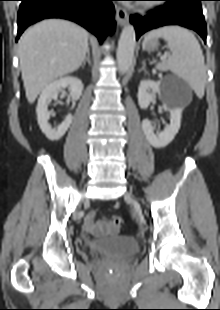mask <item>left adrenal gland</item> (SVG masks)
<instances>
[{
	"mask_svg": "<svg viewBox=\"0 0 220 310\" xmlns=\"http://www.w3.org/2000/svg\"><path fill=\"white\" fill-rule=\"evenodd\" d=\"M145 61L142 62V68L139 70V72L144 71L145 73H147L146 69H145Z\"/></svg>",
	"mask_w": 220,
	"mask_h": 310,
	"instance_id": "left-adrenal-gland-1",
	"label": "left adrenal gland"
}]
</instances>
